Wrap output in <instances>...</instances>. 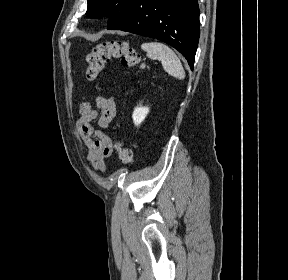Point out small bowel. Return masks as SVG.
<instances>
[{"mask_svg":"<svg viewBox=\"0 0 288 280\" xmlns=\"http://www.w3.org/2000/svg\"><path fill=\"white\" fill-rule=\"evenodd\" d=\"M96 109L88 102L80 106V119L77 131L87 149V159L92 167L104 172L106 161L112 154V140L102 129L109 126L116 115V104L113 98L98 96ZM97 121L98 127L94 126Z\"/></svg>","mask_w":288,"mask_h":280,"instance_id":"obj_1","label":"small bowel"}]
</instances>
